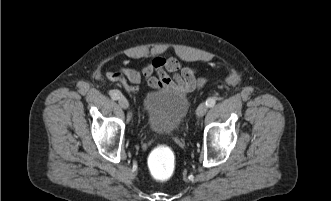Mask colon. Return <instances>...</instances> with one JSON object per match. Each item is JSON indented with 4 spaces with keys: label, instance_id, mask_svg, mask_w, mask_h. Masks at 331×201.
<instances>
[{
    "label": "colon",
    "instance_id": "1",
    "mask_svg": "<svg viewBox=\"0 0 331 201\" xmlns=\"http://www.w3.org/2000/svg\"><path fill=\"white\" fill-rule=\"evenodd\" d=\"M203 81L200 82L202 84ZM175 167V158L172 151L165 146L157 147L149 157V169L153 178L158 181L169 179Z\"/></svg>",
    "mask_w": 331,
    "mask_h": 201
}]
</instances>
